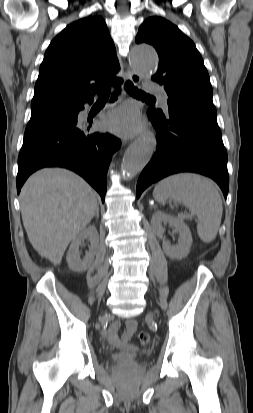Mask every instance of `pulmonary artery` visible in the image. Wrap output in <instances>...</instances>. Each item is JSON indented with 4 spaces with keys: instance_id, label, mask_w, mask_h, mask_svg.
<instances>
[{
    "instance_id": "obj_1",
    "label": "pulmonary artery",
    "mask_w": 253,
    "mask_h": 413,
    "mask_svg": "<svg viewBox=\"0 0 253 413\" xmlns=\"http://www.w3.org/2000/svg\"><path fill=\"white\" fill-rule=\"evenodd\" d=\"M144 89L148 93L157 95L160 98L163 106L167 109L168 95L166 94V92L163 90L162 87H160L157 84L148 83L145 85Z\"/></svg>"
}]
</instances>
